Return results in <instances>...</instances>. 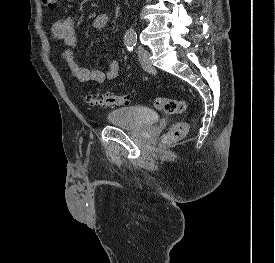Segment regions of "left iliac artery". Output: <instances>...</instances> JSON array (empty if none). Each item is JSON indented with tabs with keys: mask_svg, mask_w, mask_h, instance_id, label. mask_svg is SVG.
Returning <instances> with one entry per match:
<instances>
[{
	"mask_svg": "<svg viewBox=\"0 0 275 263\" xmlns=\"http://www.w3.org/2000/svg\"><path fill=\"white\" fill-rule=\"evenodd\" d=\"M137 43V34L134 29L127 30L124 37V44L129 51H132Z\"/></svg>",
	"mask_w": 275,
	"mask_h": 263,
	"instance_id": "obj_1",
	"label": "left iliac artery"
}]
</instances>
